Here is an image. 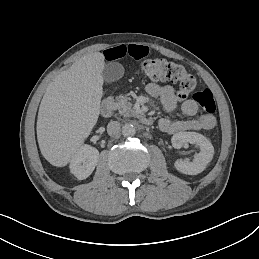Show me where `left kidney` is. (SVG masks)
I'll return each mask as SVG.
<instances>
[{
    "label": "left kidney",
    "instance_id": "left-kidney-1",
    "mask_svg": "<svg viewBox=\"0 0 259 259\" xmlns=\"http://www.w3.org/2000/svg\"><path fill=\"white\" fill-rule=\"evenodd\" d=\"M172 146L180 149L183 144L191 143L200 147L199 154L194 158L193 162L178 160L175 162V168L184 174L197 175L201 173L212 160L214 155V147L211 142L202 134L196 132H178L171 138Z\"/></svg>",
    "mask_w": 259,
    "mask_h": 259
}]
</instances>
